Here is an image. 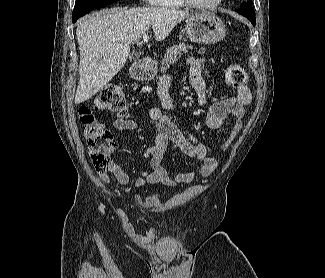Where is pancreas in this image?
Masks as SVG:
<instances>
[{
  "label": "pancreas",
  "mask_w": 325,
  "mask_h": 278,
  "mask_svg": "<svg viewBox=\"0 0 325 278\" xmlns=\"http://www.w3.org/2000/svg\"><path fill=\"white\" fill-rule=\"evenodd\" d=\"M187 49H193V46L185 43H179L168 48L167 54L161 61V72H166L171 64L176 63L178 58H180L183 53L187 52ZM198 53H205V49H200Z\"/></svg>",
  "instance_id": "obj_1"
}]
</instances>
